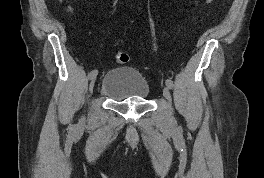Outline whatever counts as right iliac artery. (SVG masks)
<instances>
[{
  "label": "right iliac artery",
  "mask_w": 264,
  "mask_h": 178,
  "mask_svg": "<svg viewBox=\"0 0 264 178\" xmlns=\"http://www.w3.org/2000/svg\"><path fill=\"white\" fill-rule=\"evenodd\" d=\"M98 74V71L97 70H92L89 74L90 78L96 76Z\"/></svg>",
  "instance_id": "82829eb1"
}]
</instances>
